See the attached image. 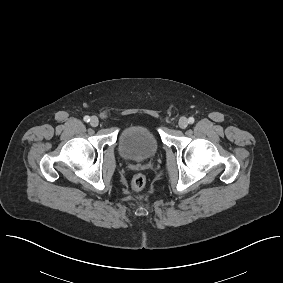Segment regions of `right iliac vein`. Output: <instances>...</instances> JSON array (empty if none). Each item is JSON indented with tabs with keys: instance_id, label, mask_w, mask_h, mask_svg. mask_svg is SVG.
I'll return each mask as SVG.
<instances>
[{
	"instance_id": "63e3f726",
	"label": "right iliac vein",
	"mask_w": 283,
	"mask_h": 283,
	"mask_svg": "<svg viewBox=\"0 0 283 283\" xmlns=\"http://www.w3.org/2000/svg\"><path fill=\"white\" fill-rule=\"evenodd\" d=\"M90 124H91V126H93V127L98 126V124H99V119H98L96 116H93V117L91 118V120H90Z\"/></svg>"
}]
</instances>
